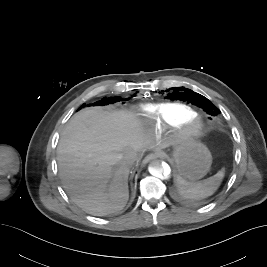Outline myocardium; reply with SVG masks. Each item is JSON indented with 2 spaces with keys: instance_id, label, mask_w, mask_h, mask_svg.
Wrapping results in <instances>:
<instances>
[{
  "instance_id": "myocardium-1",
  "label": "myocardium",
  "mask_w": 267,
  "mask_h": 267,
  "mask_svg": "<svg viewBox=\"0 0 267 267\" xmlns=\"http://www.w3.org/2000/svg\"><path fill=\"white\" fill-rule=\"evenodd\" d=\"M177 136L184 140H194L204 131V122L196 114L184 119L176 125Z\"/></svg>"
}]
</instances>
